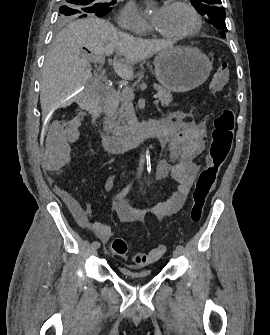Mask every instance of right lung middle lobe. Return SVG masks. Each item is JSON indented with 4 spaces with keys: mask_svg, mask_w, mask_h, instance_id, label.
Wrapping results in <instances>:
<instances>
[{
    "mask_svg": "<svg viewBox=\"0 0 270 335\" xmlns=\"http://www.w3.org/2000/svg\"><path fill=\"white\" fill-rule=\"evenodd\" d=\"M116 0H63L59 9L58 20L65 22L92 16L103 17L112 10Z\"/></svg>",
    "mask_w": 270,
    "mask_h": 335,
    "instance_id": "obj_1",
    "label": "right lung middle lobe"
}]
</instances>
